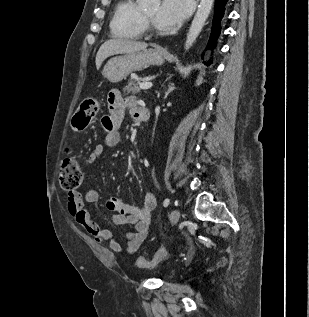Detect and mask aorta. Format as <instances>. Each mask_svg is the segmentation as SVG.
<instances>
[{"label":"aorta","instance_id":"obj_1","mask_svg":"<svg viewBox=\"0 0 309 317\" xmlns=\"http://www.w3.org/2000/svg\"><path fill=\"white\" fill-rule=\"evenodd\" d=\"M144 8L158 4L160 0H139ZM214 0H201L194 19L191 23L185 42V49L188 50L199 36L213 6Z\"/></svg>","mask_w":309,"mask_h":317}]
</instances>
